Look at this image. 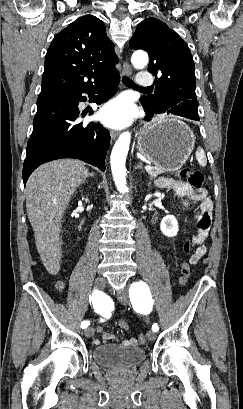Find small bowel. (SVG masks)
<instances>
[{
  "label": "small bowel",
  "instance_id": "1",
  "mask_svg": "<svg viewBox=\"0 0 243 409\" xmlns=\"http://www.w3.org/2000/svg\"><path fill=\"white\" fill-rule=\"evenodd\" d=\"M157 184L159 187L172 189L178 197L184 200L185 205H189L190 203L198 204L196 209L198 233L191 240L192 245H195L196 248L189 257L190 264H196L204 256L207 250L204 242L210 230L213 202L208 197L205 190L195 189L188 182L176 181L170 178H160L157 181ZM112 309V303L107 300L105 302L104 312L102 313V321L109 318ZM96 332L102 333L103 328L98 326L96 328ZM114 340H117L115 335L105 333L102 334L101 337L96 338L94 343L97 345ZM121 344L124 346L133 347L139 344V340L136 338H128L122 340Z\"/></svg>",
  "mask_w": 243,
  "mask_h": 409
}]
</instances>
